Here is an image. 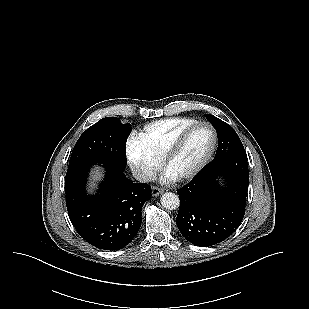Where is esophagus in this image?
<instances>
[{
    "label": "esophagus",
    "instance_id": "1",
    "mask_svg": "<svg viewBox=\"0 0 309 309\" xmlns=\"http://www.w3.org/2000/svg\"><path fill=\"white\" fill-rule=\"evenodd\" d=\"M164 192V189L159 188V187H153L152 188V195L153 196H158Z\"/></svg>",
    "mask_w": 309,
    "mask_h": 309
}]
</instances>
